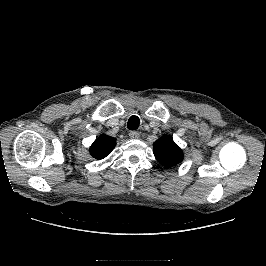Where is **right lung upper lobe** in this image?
Listing matches in <instances>:
<instances>
[{"label":"right lung upper lobe","instance_id":"1","mask_svg":"<svg viewBox=\"0 0 266 266\" xmlns=\"http://www.w3.org/2000/svg\"><path fill=\"white\" fill-rule=\"evenodd\" d=\"M116 146V138L101 134L91 145L89 151L92 157L101 160L108 156Z\"/></svg>","mask_w":266,"mask_h":266}]
</instances>
